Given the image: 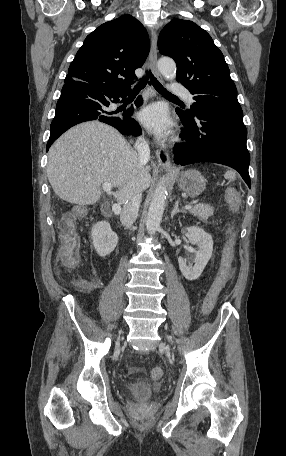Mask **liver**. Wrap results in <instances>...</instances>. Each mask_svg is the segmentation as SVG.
<instances>
[{
	"mask_svg": "<svg viewBox=\"0 0 286 456\" xmlns=\"http://www.w3.org/2000/svg\"><path fill=\"white\" fill-rule=\"evenodd\" d=\"M150 169L117 130L92 121L71 128L51 146L47 177L55 194L69 203L95 204L101 185L109 182L123 204L136 182L142 191L149 187Z\"/></svg>",
	"mask_w": 286,
	"mask_h": 456,
	"instance_id": "6515ba94",
	"label": "liver"
}]
</instances>
